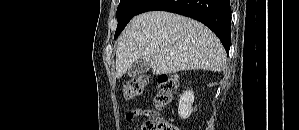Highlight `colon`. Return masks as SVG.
<instances>
[{"instance_id": "colon-1", "label": "colon", "mask_w": 299, "mask_h": 130, "mask_svg": "<svg viewBox=\"0 0 299 130\" xmlns=\"http://www.w3.org/2000/svg\"><path fill=\"white\" fill-rule=\"evenodd\" d=\"M149 82L150 78L146 74L137 75L125 82L123 86L125 99L131 100L140 96ZM177 87L178 79L174 75H161L158 78L157 91L153 98L156 110H161L171 103ZM144 113L147 115V118L142 125V130H179L176 125L166 121L157 113L150 111H144Z\"/></svg>"}]
</instances>
